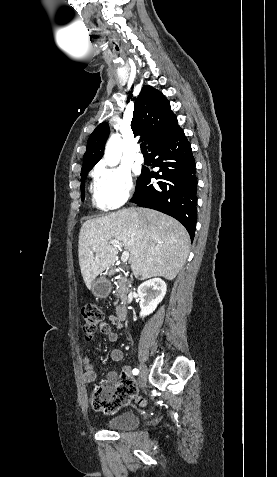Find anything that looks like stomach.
Returning a JSON list of instances; mask_svg holds the SVG:
<instances>
[{"label":"stomach","instance_id":"stomach-1","mask_svg":"<svg viewBox=\"0 0 277 477\" xmlns=\"http://www.w3.org/2000/svg\"><path fill=\"white\" fill-rule=\"evenodd\" d=\"M111 289V283L103 276L95 279L91 287L93 295L99 298L107 297Z\"/></svg>","mask_w":277,"mask_h":477}]
</instances>
